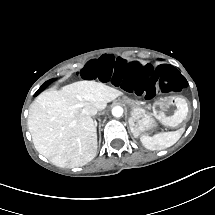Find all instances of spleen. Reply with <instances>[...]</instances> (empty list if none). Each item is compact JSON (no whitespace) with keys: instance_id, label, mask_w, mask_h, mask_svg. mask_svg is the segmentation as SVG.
I'll list each match as a JSON object with an SVG mask.
<instances>
[{"instance_id":"1","label":"spleen","mask_w":215,"mask_h":215,"mask_svg":"<svg viewBox=\"0 0 215 215\" xmlns=\"http://www.w3.org/2000/svg\"><path fill=\"white\" fill-rule=\"evenodd\" d=\"M182 133V129H179L177 131L158 133L152 137L142 135L140 141L149 150H162L174 145L180 139Z\"/></svg>"}]
</instances>
